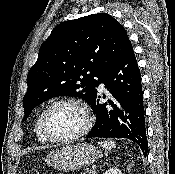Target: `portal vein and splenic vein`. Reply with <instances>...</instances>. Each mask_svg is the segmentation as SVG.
<instances>
[{
	"instance_id": "1",
	"label": "portal vein and splenic vein",
	"mask_w": 175,
	"mask_h": 174,
	"mask_svg": "<svg viewBox=\"0 0 175 174\" xmlns=\"http://www.w3.org/2000/svg\"><path fill=\"white\" fill-rule=\"evenodd\" d=\"M90 174H95V169L91 170Z\"/></svg>"
}]
</instances>
